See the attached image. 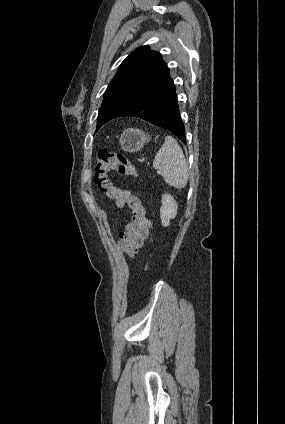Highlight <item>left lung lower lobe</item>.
Here are the masks:
<instances>
[{"mask_svg":"<svg viewBox=\"0 0 285 424\" xmlns=\"http://www.w3.org/2000/svg\"><path fill=\"white\" fill-rule=\"evenodd\" d=\"M122 116L141 118L165 128L186 143L175 85L168 67L154 81L115 107L106 122Z\"/></svg>","mask_w":285,"mask_h":424,"instance_id":"1","label":"left lung lower lobe"}]
</instances>
